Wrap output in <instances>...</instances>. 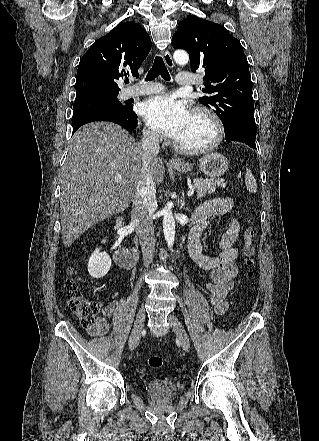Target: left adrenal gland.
<instances>
[{
	"mask_svg": "<svg viewBox=\"0 0 319 441\" xmlns=\"http://www.w3.org/2000/svg\"><path fill=\"white\" fill-rule=\"evenodd\" d=\"M184 204H185V202H184V197H183V198H182L181 206L184 207ZM187 210H188V209H187Z\"/></svg>",
	"mask_w": 319,
	"mask_h": 441,
	"instance_id": "1",
	"label": "left adrenal gland"
}]
</instances>
